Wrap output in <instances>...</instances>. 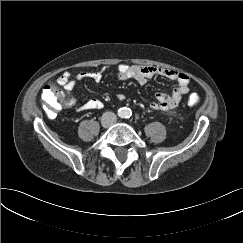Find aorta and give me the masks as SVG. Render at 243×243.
Wrapping results in <instances>:
<instances>
[{"label":"aorta","instance_id":"aorta-1","mask_svg":"<svg viewBox=\"0 0 243 243\" xmlns=\"http://www.w3.org/2000/svg\"><path fill=\"white\" fill-rule=\"evenodd\" d=\"M131 114H132V112H131V109H129V108L123 107L119 110V116L121 118H128L131 116Z\"/></svg>","mask_w":243,"mask_h":243}]
</instances>
